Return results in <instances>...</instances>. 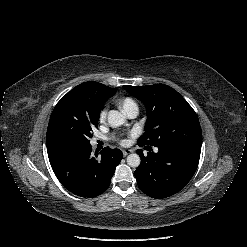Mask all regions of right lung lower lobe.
<instances>
[{"label":"right lung lower lobe","mask_w":247,"mask_h":247,"mask_svg":"<svg viewBox=\"0 0 247 247\" xmlns=\"http://www.w3.org/2000/svg\"><path fill=\"white\" fill-rule=\"evenodd\" d=\"M48 157L56 177L67 190L92 198L108 189L123 154L119 149L107 147L101 151V156L94 157L89 144L61 147L48 152Z\"/></svg>","instance_id":"obj_1"}]
</instances>
